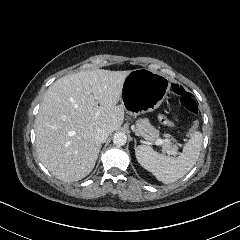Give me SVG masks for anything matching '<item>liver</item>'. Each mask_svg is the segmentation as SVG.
I'll return each instance as SVG.
<instances>
[{
	"mask_svg": "<svg viewBox=\"0 0 240 240\" xmlns=\"http://www.w3.org/2000/svg\"><path fill=\"white\" fill-rule=\"evenodd\" d=\"M130 72L80 71L49 86L35 120V143L57 179L78 181L93 170L101 149L97 130L112 133L123 124L124 108L117 104Z\"/></svg>",
	"mask_w": 240,
	"mask_h": 240,
	"instance_id": "obj_1",
	"label": "liver"
}]
</instances>
